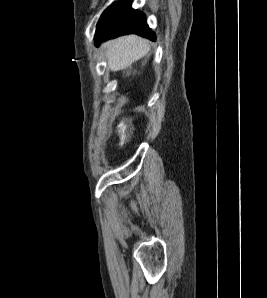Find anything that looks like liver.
<instances>
[{
	"label": "liver",
	"mask_w": 267,
	"mask_h": 298,
	"mask_svg": "<svg viewBox=\"0 0 267 298\" xmlns=\"http://www.w3.org/2000/svg\"><path fill=\"white\" fill-rule=\"evenodd\" d=\"M149 50V42L136 35L114 39L105 45L108 68L113 72L123 70L144 57Z\"/></svg>",
	"instance_id": "liver-1"
}]
</instances>
